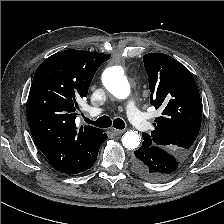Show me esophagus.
<instances>
[{
	"label": "esophagus",
	"mask_w": 224,
	"mask_h": 224,
	"mask_svg": "<svg viewBox=\"0 0 224 224\" xmlns=\"http://www.w3.org/2000/svg\"><path fill=\"white\" fill-rule=\"evenodd\" d=\"M111 131L114 135H120L124 132V130H118V129H115V128H112Z\"/></svg>",
	"instance_id": "1"
}]
</instances>
